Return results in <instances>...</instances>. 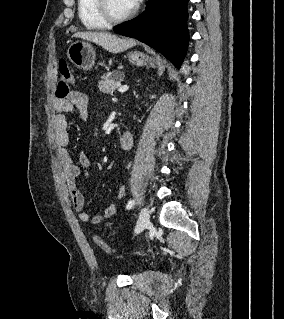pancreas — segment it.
<instances>
[{"mask_svg":"<svg viewBox=\"0 0 284 319\" xmlns=\"http://www.w3.org/2000/svg\"><path fill=\"white\" fill-rule=\"evenodd\" d=\"M122 80L123 75L121 73H106L103 76H101V81L98 82V88L103 93L112 94Z\"/></svg>","mask_w":284,"mask_h":319,"instance_id":"cf45deb5","label":"pancreas"}]
</instances>
